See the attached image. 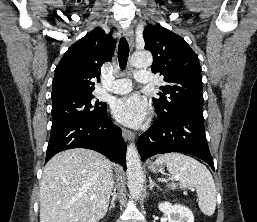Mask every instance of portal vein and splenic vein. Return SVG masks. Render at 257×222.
Wrapping results in <instances>:
<instances>
[{
  "instance_id": "obj_1",
  "label": "portal vein and splenic vein",
  "mask_w": 257,
  "mask_h": 222,
  "mask_svg": "<svg viewBox=\"0 0 257 222\" xmlns=\"http://www.w3.org/2000/svg\"><path fill=\"white\" fill-rule=\"evenodd\" d=\"M95 197L94 196H91V199H94Z\"/></svg>"
}]
</instances>
